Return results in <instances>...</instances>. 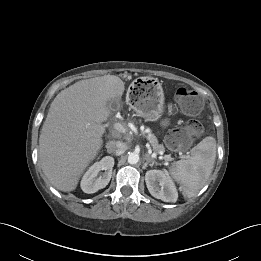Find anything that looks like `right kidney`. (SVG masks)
<instances>
[{"label": "right kidney", "mask_w": 261, "mask_h": 261, "mask_svg": "<svg viewBox=\"0 0 261 261\" xmlns=\"http://www.w3.org/2000/svg\"><path fill=\"white\" fill-rule=\"evenodd\" d=\"M113 166L114 159L110 156H106L99 162L94 163L86 171L81 180V189L83 192L92 194L105 188L111 179ZM101 170H105V172L99 175Z\"/></svg>", "instance_id": "1"}]
</instances>
